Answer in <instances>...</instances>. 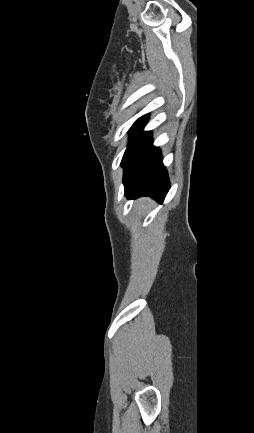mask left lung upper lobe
Masks as SVG:
<instances>
[{
  "label": "left lung upper lobe",
  "instance_id": "1",
  "mask_svg": "<svg viewBox=\"0 0 254 433\" xmlns=\"http://www.w3.org/2000/svg\"><path fill=\"white\" fill-rule=\"evenodd\" d=\"M148 120V115H144L143 117L139 118L131 127L130 129V134H131V139H130V143L128 145V147L130 146L131 142L133 141L134 137L137 135V133L141 130V128L145 125V123ZM128 149V148H127ZM127 152V150H126ZM125 152V154H126ZM124 154V156H125ZM123 156V158H124Z\"/></svg>",
  "mask_w": 254,
  "mask_h": 433
}]
</instances>
